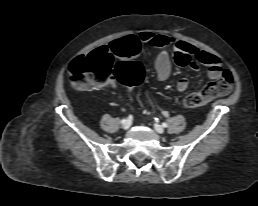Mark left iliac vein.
I'll use <instances>...</instances> for the list:
<instances>
[{"mask_svg": "<svg viewBox=\"0 0 258 206\" xmlns=\"http://www.w3.org/2000/svg\"><path fill=\"white\" fill-rule=\"evenodd\" d=\"M154 129L160 134L164 133V128L159 124H154Z\"/></svg>", "mask_w": 258, "mask_h": 206, "instance_id": "1", "label": "left iliac vein"}]
</instances>
